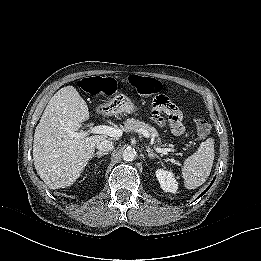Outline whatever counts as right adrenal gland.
I'll return each mask as SVG.
<instances>
[{"label":"right adrenal gland","instance_id":"obj_1","mask_svg":"<svg viewBox=\"0 0 261 261\" xmlns=\"http://www.w3.org/2000/svg\"><path fill=\"white\" fill-rule=\"evenodd\" d=\"M106 154H107V153H105V152L98 151V152H96L95 154H93V157L96 156L97 158H100V157H102V156H104V155H106Z\"/></svg>","mask_w":261,"mask_h":261}]
</instances>
